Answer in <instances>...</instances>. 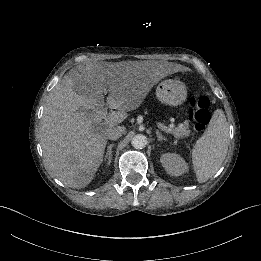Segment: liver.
<instances>
[{
    "mask_svg": "<svg viewBox=\"0 0 261 261\" xmlns=\"http://www.w3.org/2000/svg\"><path fill=\"white\" fill-rule=\"evenodd\" d=\"M151 64L79 65L49 94L39 136L45 166L62 183L84 188L103 160L108 132L138 108L166 70ZM107 105L117 111L107 112Z\"/></svg>",
    "mask_w": 261,
    "mask_h": 261,
    "instance_id": "6515ba94",
    "label": "liver"
}]
</instances>
